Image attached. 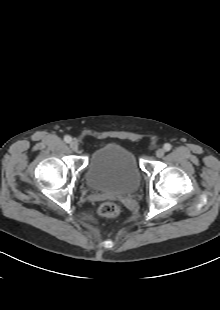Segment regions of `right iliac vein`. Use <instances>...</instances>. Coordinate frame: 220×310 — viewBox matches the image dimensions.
Returning a JSON list of instances; mask_svg holds the SVG:
<instances>
[{"instance_id": "1", "label": "right iliac vein", "mask_w": 220, "mask_h": 310, "mask_svg": "<svg viewBox=\"0 0 220 310\" xmlns=\"http://www.w3.org/2000/svg\"><path fill=\"white\" fill-rule=\"evenodd\" d=\"M70 148H71L73 151H78L79 145H78V143H77L76 141H72V142L70 143Z\"/></svg>"}]
</instances>
